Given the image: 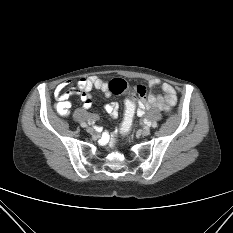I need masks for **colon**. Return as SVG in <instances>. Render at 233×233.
I'll list each match as a JSON object with an SVG mask.
<instances>
[{"instance_id": "colon-1", "label": "colon", "mask_w": 233, "mask_h": 233, "mask_svg": "<svg viewBox=\"0 0 233 233\" xmlns=\"http://www.w3.org/2000/svg\"><path fill=\"white\" fill-rule=\"evenodd\" d=\"M109 88L113 94H129L128 98L124 102L123 118L120 127L121 134L126 136L131 130L132 122L136 114V102L145 98L146 89L142 85H131L122 79L111 80ZM168 109L169 108H165V110Z\"/></svg>"}]
</instances>
